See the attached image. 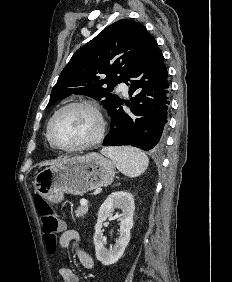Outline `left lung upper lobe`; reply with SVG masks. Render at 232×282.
Here are the masks:
<instances>
[{
    "label": "left lung upper lobe",
    "mask_w": 232,
    "mask_h": 282,
    "mask_svg": "<svg viewBox=\"0 0 232 282\" xmlns=\"http://www.w3.org/2000/svg\"><path fill=\"white\" fill-rule=\"evenodd\" d=\"M153 39L141 23L122 19L111 24L74 53L52 89L47 107L78 94L102 100L109 113L120 101L112 93L113 87L134 70Z\"/></svg>",
    "instance_id": "obj_1"
}]
</instances>
